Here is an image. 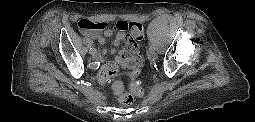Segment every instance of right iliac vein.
Segmentation results:
<instances>
[{"label":"right iliac vein","mask_w":255,"mask_h":122,"mask_svg":"<svg viewBox=\"0 0 255 122\" xmlns=\"http://www.w3.org/2000/svg\"><path fill=\"white\" fill-rule=\"evenodd\" d=\"M91 56H92V59L93 60H97L99 58V53L94 50L92 53H91Z\"/></svg>","instance_id":"1"}]
</instances>
